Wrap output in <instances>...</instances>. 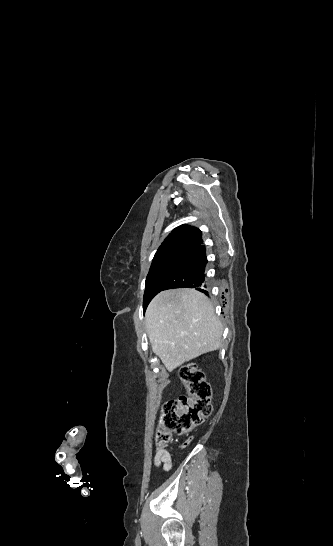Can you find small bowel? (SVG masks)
<instances>
[{
	"label": "small bowel",
	"instance_id": "small-bowel-1",
	"mask_svg": "<svg viewBox=\"0 0 333 546\" xmlns=\"http://www.w3.org/2000/svg\"><path fill=\"white\" fill-rule=\"evenodd\" d=\"M154 466L162 467L165 471L171 469V455L165 447L157 446L154 455Z\"/></svg>",
	"mask_w": 333,
	"mask_h": 546
}]
</instances>
